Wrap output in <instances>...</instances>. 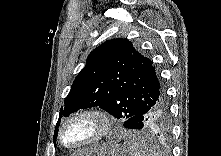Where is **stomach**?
<instances>
[{
  "mask_svg": "<svg viewBox=\"0 0 221 156\" xmlns=\"http://www.w3.org/2000/svg\"><path fill=\"white\" fill-rule=\"evenodd\" d=\"M91 156H128V150L124 145L108 144L106 146H95L88 150Z\"/></svg>",
  "mask_w": 221,
  "mask_h": 156,
  "instance_id": "0dacf381",
  "label": "stomach"
}]
</instances>
